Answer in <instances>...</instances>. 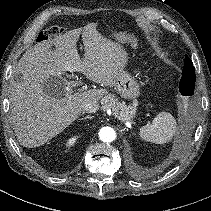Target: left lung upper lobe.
I'll return each mask as SVG.
<instances>
[{
  "mask_svg": "<svg viewBox=\"0 0 211 211\" xmlns=\"http://www.w3.org/2000/svg\"><path fill=\"white\" fill-rule=\"evenodd\" d=\"M183 77L180 81V92L182 95L192 96L195 88V68L191 59L186 55L184 62Z\"/></svg>",
  "mask_w": 211,
  "mask_h": 211,
  "instance_id": "obj_1",
  "label": "left lung upper lobe"
}]
</instances>
